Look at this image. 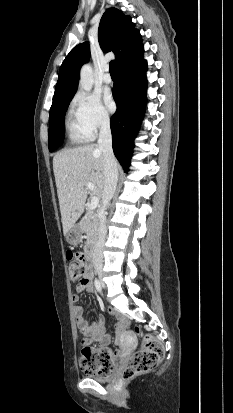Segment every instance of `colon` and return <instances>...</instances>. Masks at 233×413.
Instances as JSON below:
<instances>
[{"instance_id":"colon-1","label":"colon","mask_w":233,"mask_h":413,"mask_svg":"<svg viewBox=\"0 0 233 413\" xmlns=\"http://www.w3.org/2000/svg\"><path fill=\"white\" fill-rule=\"evenodd\" d=\"M69 275L72 282H80L90 274L86 258L81 254L68 253ZM141 332L139 326L135 327ZM81 361L83 369L88 373L106 375L113 370L114 357L108 349H93L86 339L81 340ZM164 349L162 344L152 335L143 336L141 348L131 357L123 371V378L129 380L139 374L154 369L162 360Z\"/></svg>"}]
</instances>
